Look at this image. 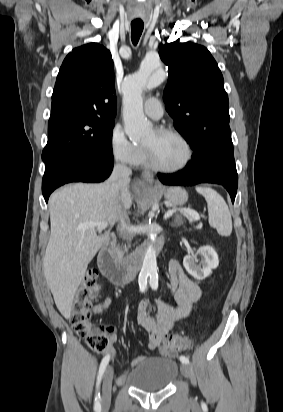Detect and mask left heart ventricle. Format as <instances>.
Wrapping results in <instances>:
<instances>
[{
    "mask_svg": "<svg viewBox=\"0 0 283 412\" xmlns=\"http://www.w3.org/2000/svg\"><path fill=\"white\" fill-rule=\"evenodd\" d=\"M143 144L150 148L153 159L162 167L179 166L186 157L185 146L173 135L158 134L154 130Z\"/></svg>",
    "mask_w": 283,
    "mask_h": 412,
    "instance_id": "left-heart-ventricle-1",
    "label": "left heart ventricle"
}]
</instances>
